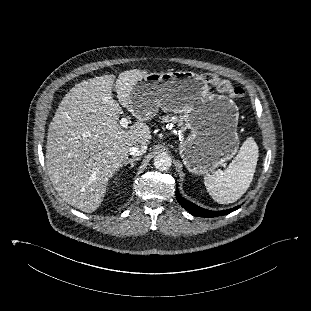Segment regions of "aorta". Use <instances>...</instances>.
Listing matches in <instances>:
<instances>
[{"instance_id":"obj_1","label":"aorta","mask_w":311,"mask_h":311,"mask_svg":"<svg viewBox=\"0 0 311 311\" xmlns=\"http://www.w3.org/2000/svg\"><path fill=\"white\" fill-rule=\"evenodd\" d=\"M172 165L171 157L166 153H160L154 158V166L161 171L168 170Z\"/></svg>"}]
</instances>
